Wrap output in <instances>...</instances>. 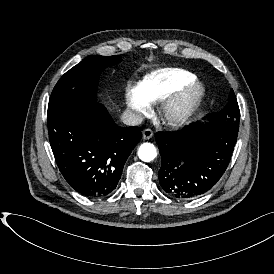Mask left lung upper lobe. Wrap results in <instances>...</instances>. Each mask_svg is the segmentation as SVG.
<instances>
[{
	"mask_svg": "<svg viewBox=\"0 0 274 274\" xmlns=\"http://www.w3.org/2000/svg\"><path fill=\"white\" fill-rule=\"evenodd\" d=\"M210 117L213 122L235 129L239 128L240 110L232 89L230 91L226 107L218 113H213Z\"/></svg>",
	"mask_w": 274,
	"mask_h": 274,
	"instance_id": "obj_1",
	"label": "left lung upper lobe"
}]
</instances>
